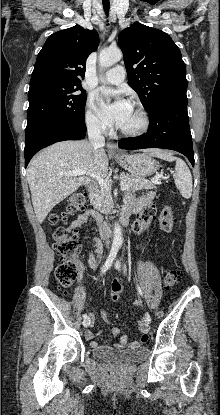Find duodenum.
<instances>
[{
  "mask_svg": "<svg viewBox=\"0 0 220 415\" xmlns=\"http://www.w3.org/2000/svg\"><path fill=\"white\" fill-rule=\"evenodd\" d=\"M87 191L89 194H94L96 192L95 184H90L87 186ZM130 212H123L120 218V222L123 226H127L129 221ZM100 226V236L102 239H108L113 236L114 230L103 220L99 223Z\"/></svg>",
  "mask_w": 220,
  "mask_h": 415,
  "instance_id": "410a0bca",
  "label": "duodenum"
}]
</instances>
